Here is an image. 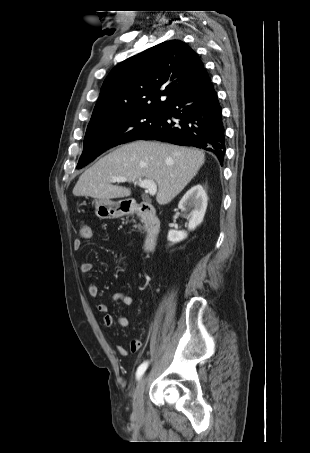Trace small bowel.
<instances>
[{"mask_svg": "<svg viewBox=\"0 0 310 453\" xmlns=\"http://www.w3.org/2000/svg\"><path fill=\"white\" fill-rule=\"evenodd\" d=\"M91 235L87 238H77L73 242L74 250L78 251L82 248L83 240L82 239H89ZM93 268V264L90 261H83L80 264V272L82 275L87 276ZM88 294L96 298L99 295L98 286L95 283H88L87 285ZM112 301L116 304H122L125 306H130L133 303V298L130 295H127L122 292H115L112 294L111 297ZM96 308L99 313L103 314V324L107 328H112L115 323H117L120 327L126 328L130 325V321L127 317L119 316L115 318L110 312L108 305L105 302H99L96 305ZM142 339L141 338H134L130 343V350L132 353L138 352L142 347ZM116 352L120 356H126L128 354L127 349L122 345L116 346Z\"/></svg>", "mask_w": 310, "mask_h": 453, "instance_id": "c3829d8e", "label": "small bowel"}]
</instances>
